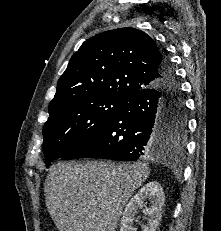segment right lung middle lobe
<instances>
[{
	"mask_svg": "<svg viewBox=\"0 0 221 231\" xmlns=\"http://www.w3.org/2000/svg\"><path fill=\"white\" fill-rule=\"evenodd\" d=\"M125 99L116 96L85 97L49 115L43 127V149L46 163L63 157L99 130L118 111ZM164 137L182 149L185 144L186 113L183 100L168 104L165 110Z\"/></svg>",
	"mask_w": 221,
	"mask_h": 231,
	"instance_id": "1",
	"label": "right lung middle lobe"
}]
</instances>
